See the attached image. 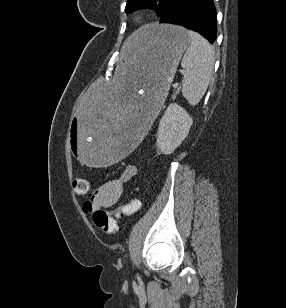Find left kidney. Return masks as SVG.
<instances>
[{"label":"left kidney","mask_w":286,"mask_h":308,"mask_svg":"<svg viewBox=\"0 0 286 308\" xmlns=\"http://www.w3.org/2000/svg\"><path fill=\"white\" fill-rule=\"evenodd\" d=\"M193 123L187 111L176 103L166 109L158 128L157 147L163 154H171L186 138Z\"/></svg>","instance_id":"left-kidney-1"}]
</instances>
